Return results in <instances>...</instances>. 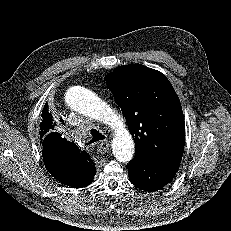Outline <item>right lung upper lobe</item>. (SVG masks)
Listing matches in <instances>:
<instances>
[{
  "instance_id": "obj_1",
  "label": "right lung upper lobe",
  "mask_w": 231,
  "mask_h": 231,
  "mask_svg": "<svg viewBox=\"0 0 231 231\" xmlns=\"http://www.w3.org/2000/svg\"><path fill=\"white\" fill-rule=\"evenodd\" d=\"M63 122L62 119H60ZM60 123L54 119L46 104L40 123L42 138V156L47 170L62 184L73 188L89 185L94 164L86 151L67 141L56 132Z\"/></svg>"
}]
</instances>
